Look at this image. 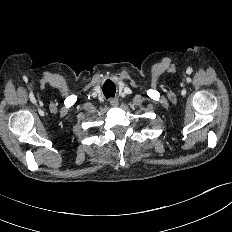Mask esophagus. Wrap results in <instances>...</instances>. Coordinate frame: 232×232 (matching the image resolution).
Returning <instances> with one entry per match:
<instances>
[{
    "label": "esophagus",
    "mask_w": 232,
    "mask_h": 232,
    "mask_svg": "<svg viewBox=\"0 0 232 232\" xmlns=\"http://www.w3.org/2000/svg\"><path fill=\"white\" fill-rule=\"evenodd\" d=\"M109 102H110V105L113 107L118 106V103H119L117 98H111Z\"/></svg>",
    "instance_id": "esophagus-1"
}]
</instances>
